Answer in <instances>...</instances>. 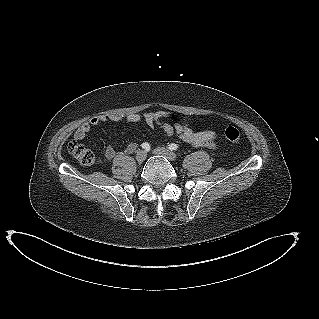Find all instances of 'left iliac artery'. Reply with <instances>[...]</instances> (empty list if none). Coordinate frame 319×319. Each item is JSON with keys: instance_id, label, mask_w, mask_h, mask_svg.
<instances>
[{"instance_id": "44dca946", "label": "left iliac artery", "mask_w": 319, "mask_h": 319, "mask_svg": "<svg viewBox=\"0 0 319 319\" xmlns=\"http://www.w3.org/2000/svg\"><path fill=\"white\" fill-rule=\"evenodd\" d=\"M169 149L170 150H177L178 149V145L175 144V143H172V144L169 145Z\"/></svg>"}]
</instances>
